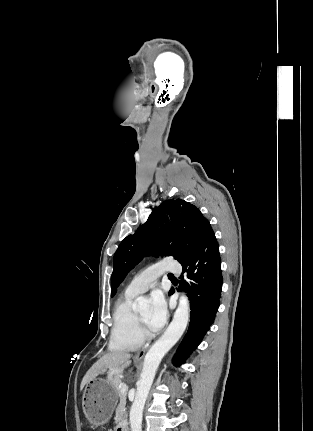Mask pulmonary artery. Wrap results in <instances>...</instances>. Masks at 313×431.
I'll list each match as a JSON object with an SVG mask.
<instances>
[{"mask_svg":"<svg viewBox=\"0 0 313 431\" xmlns=\"http://www.w3.org/2000/svg\"><path fill=\"white\" fill-rule=\"evenodd\" d=\"M181 269V265L171 258L157 262L139 273L127 286L126 293L130 295L144 293L153 287L157 278L163 273H179Z\"/></svg>","mask_w":313,"mask_h":431,"instance_id":"1","label":"pulmonary artery"}]
</instances>
